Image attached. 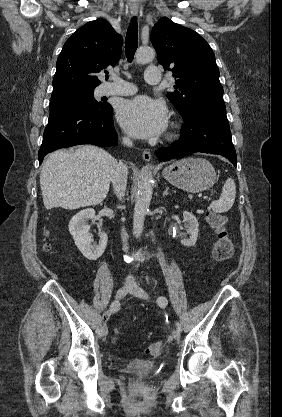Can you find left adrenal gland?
<instances>
[{
    "label": "left adrenal gland",
    "instance_id": "obj_1",
    "mask_svg": "<svg viewBox=\"0 0 282 417\" xmlns=\"http://www.w3.org/2000/svg\"><path fill=\"white\" fill-rule=\"evenodd\" d=\"M168 190H169V186H166V188L163 192V196H166V194H169Z\"/></svg>",
    "mask_w": 282,
    "mask_h": 417
}]
</instances>
